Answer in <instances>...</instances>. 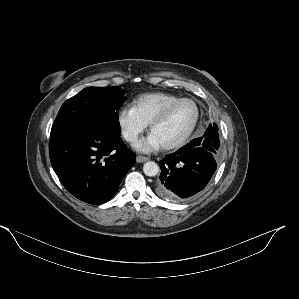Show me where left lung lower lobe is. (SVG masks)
I'll list each match as a JSON object with an SVG mask.
<instances>
[{
	"label": "left lung lower lobe",
	"instance_id": "left-lung-lower-lobe-1",
	"mask_svg": "<svg viewBox=\"0 0 299 299\" xmlns=\"http://www.w3.org/2000/svg\"><path fill=\"white\" fill-rule=\"evenodd\" d=\"M206 133L160 161L156 192L165 200L182 202L201 192L217 168L218 153Z\"/></svg>",
	"mask_w": 299,
	"mask_h": 299
}]
</instances>
